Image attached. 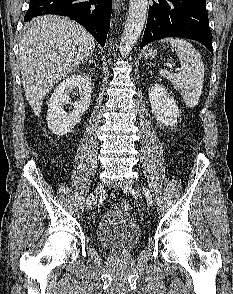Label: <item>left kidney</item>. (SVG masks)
I'll list each match as a JSON object with an SVG mask.
<instances>
[{
	"instance_id": "5707ae66",
	"label": "left kidney",
	"mask_w": 233,
	"mask_h": 294,
	"mask_svg": "<svg viewBox=\"0 0 233 294\" xmlns=\"http://www.w3.org/2000/svg\"><path fill=\"white\" fill-rule=\"evenodd\" d=\"M151 111L157 121L166 125L174 126L180 115L174 98L161 85L155 84L149 89Z\"/></svg>"
}]
</instances>
